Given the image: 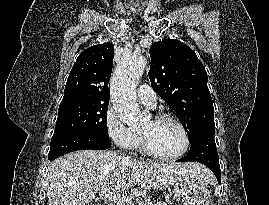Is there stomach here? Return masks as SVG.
Here are the masks:
<instances>
[{"label":"stomach","mask_w":269,"mask_h":205,"mask_svg":"<svg viewBox=\"0 0 269 205\" xmlns=\"http://www.w3.org/2000/svg\"><path fill=\"white\" fill-rule=\"evenodd\" d=\"M173 192L181 201L180 205H209L211 199L206 183L192 175L182 177L175 183Z\"/></svg>","instance_id":"1"}]
</instances>
